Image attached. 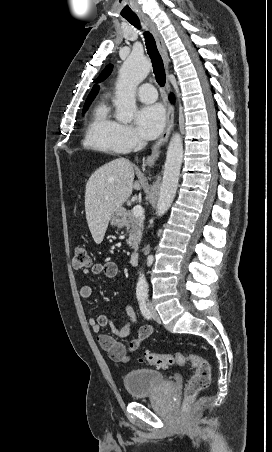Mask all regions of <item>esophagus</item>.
Wrapping results in <instances>:
<instances>
[{"label": "esophagus", "instance_id": "34e87169", "mask_svg": "<svg viewBox=\"0 0 272 452\" xmlns=\"http://www.w3.org/2000/svg\"><path fill=\"white\" fill-rule=\"evenodd\" d=\"M140 17L142 18V20H144L149 25L150 29L152 30V33H153L156 43H157L158 50L163 58L165 67L168 71L170 59H169L168 51L165 46L161 33L157 29L156 25L153 22H151L146 16L140 15ZM166 87L168 90H170V85H169L168 81L166 83ZM173 125H174V107L172 104H169L165 129H164L162 135L160 136V138L158 139V141L154 144L151 154L147 157V159L145 161L146 165L152 166L155 163V161L158 159L159 154H160V147L168 140V137L172 131Z\"/></svg>", "mask_w": 272, "mask_h": 452}]
</instances>
